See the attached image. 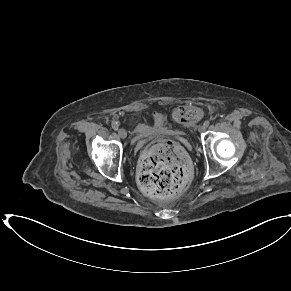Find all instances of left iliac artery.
Listing matches in <instances>:
<instances>
[{
  "mask_svg": "<svg viewBox=\"0 0 291 291\" xmlns=\"http://www.w3.org/2000/svg\"><path fill=\"white\" fill-rule=\"evenodd\" d=\"M209 124H210L209 120H206V121L204 122V125H206V127H208Z\"/></svg>",
  "mask_w": 291,
  "mask_h": 291,
  "instance_id": "1",
  "label": "left iliac artery"
}]
</instances>
